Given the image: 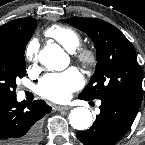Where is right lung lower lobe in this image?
<instances>
[{
  "instance_id": "obj_1",
  "label": "right lung lower lobe",
  "mask_w": 145,
  "mask_h": 145,
  "mask_svg": "<svg viewBox=\"0 0 145 145\" xmlns=\"http://www.w3.org/2000/svg\"><path fill=\"white\" fill-rule=\"evenodd\" d=\"M51 112L43 100L17 102L16 94L0 93V145H37L40 119Z\"/></svg>"
}]
</instances>
